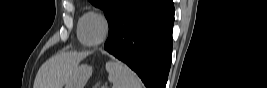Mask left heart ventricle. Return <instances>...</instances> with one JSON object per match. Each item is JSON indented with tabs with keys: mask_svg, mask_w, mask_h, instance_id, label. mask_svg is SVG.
<instances>
[{
	"mask_svg": "<svg viewBox=\"0 0 267 88\" xmlns=\"http://www.w3.org/2000/svg\"><path fill=\"white\" fill-rule=\"evenodd\" d=\"M84 35L88 42H96L103 35V24L96 17H89L84 26Z\"/></svg>",
	"mask_w": 267,
	"mask_h": 88,
	"instance_id": "b2bd125f",
	"label": "left heart ventricle"
}]
</instances>
